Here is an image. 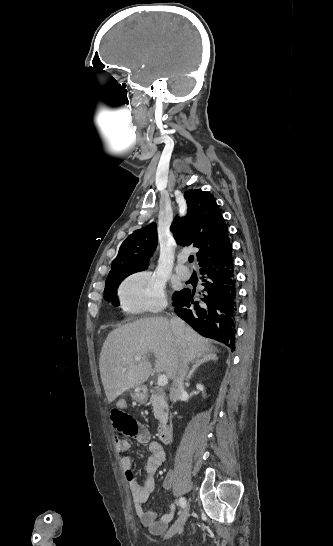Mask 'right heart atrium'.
<instances>
[{"label": "right heart atrium", "mask_w": 333, "mask_h": 546, "mask_svg": "<svg viewBox=\"0 0 333 546\" xmlns=\"http://www.w3.org/2000/svg\"><path fill=\"white\" fill-rule=\"evenodd\" d=\"M118 303L127 316L156 314L166 306L163 284L148 272L127 277L118 288Z\"/></svg>", "instance_id": "obj_1"}]
</instances>
